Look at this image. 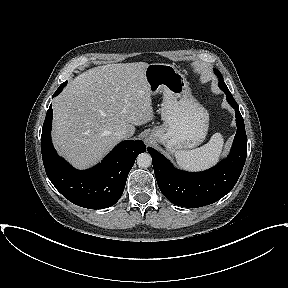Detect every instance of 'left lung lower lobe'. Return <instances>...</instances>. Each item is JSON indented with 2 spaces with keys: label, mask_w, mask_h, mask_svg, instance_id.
Segmentation results:
<instances>
[{
  "label": "left lung lower lobe",
  "mask_w": 288,
  "mask_h": 288,
  "mask_svg": "<svg viewBox=\"0 0 288 288\" xmlns=\"http://www.w3.org/2000/svg\"><path fill=\"white\" fill-rule=\"evenodd\" d=\"M224 92L236 112L237 132L231 153L223 162L203 172L179 171L163 155L148 148L158 186L163 195L175 205L197 208L212 204L232 190L242 172L247 156L244 121L230 91Z\"/></svg>",
  "instance_id": "1"
}]
</instances>
